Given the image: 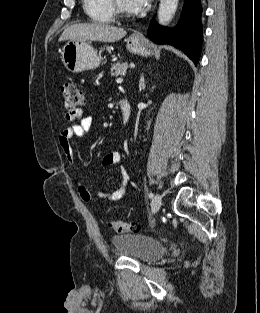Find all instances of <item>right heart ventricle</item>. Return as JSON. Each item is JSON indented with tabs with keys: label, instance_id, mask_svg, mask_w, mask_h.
<instances>
[{
	"label": "right heart ventricle",
	"instance_id": "1",
	"mask_svg": "<svg viewBox=\"0 0 260 313\" xmlns=\"http://www.w3.org/2000/svg\"><path fill=\"white\" fill-rule=\"evenodd\" d=\"M83 8L87 16L97 23H110L113 13L109 0H83Z\"/></svg>",
	"mask_w": 260,
	"mask_h": 313
}]
</instances>
